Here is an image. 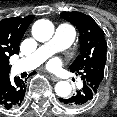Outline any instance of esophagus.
Segmentation results:
<instances>
[{
    "mask_svg": "<svg viewBox=\"0 0 117 117\" xmlns=\"http://www.w3.org/2000/svg\"><path fill=\"white\" fill-rule=\"evenodd\" d=\"M49 78L52 80V81H54V82H56V81H58L59 80V78L58 77H56V76H54V75H49Z\"/></svg>",
    "mask_w": 117,
    "mask_h": 117,
    "instance_id": "1",
    "label": "esophagus"
}]
</instances>
